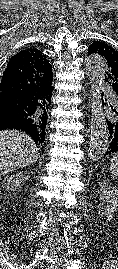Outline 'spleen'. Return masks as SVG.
<instances>
[{"label": "spleen", "instance_id": "obj_1", "mask_svg": "<svg viewBox=\"0 0 118 269\" xmlns=\"http://www.w3.org/2000/svg\"><path fill=\"white\" fill-rule=\"evenodd\" d=\"M110 169L112 173L118 177V152L115 153L111 159Z\"/></svg>", "mask_w": 118, "mask_h": 269}]
</instances>
